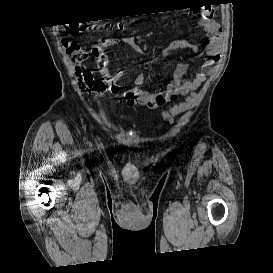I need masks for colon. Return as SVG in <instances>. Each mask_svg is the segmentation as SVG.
<instances>
[{
    "label": "colon",
    "mask_w": 273,
    "mask_h": 273,
    "mask_svg": "<svg viewBox=\"0 0 273 273\" xmlns=\"http://www.w3.org/2000/svg\"><path fill=\"white\" fill-rule=\"evenodd\" d=\"M84 28L78 25L70 27V32L73 35L78 34ZM62 49L65 53L66 59L73 70V74L77 80V87L79 91L84 95L97 94L104 90V83L96 79L92 71L85 67V62L88 58V54L83 50L80 45L68 38H63L61 41ZM190 105V100H185L164 113V117L167 119L185 111Z\"/></svg>",
    "instance_id": "5ec220e1"
}]
</instances>
